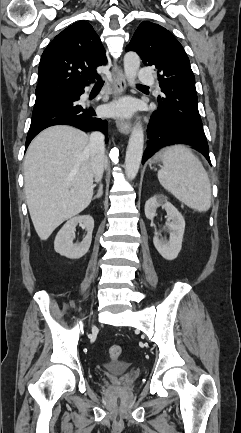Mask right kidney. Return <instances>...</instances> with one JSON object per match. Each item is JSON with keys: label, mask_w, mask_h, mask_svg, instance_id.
Masks as SVG:
<instances>
[{"label": "right kidney", "mask_w": 241, "mask_h": 433, "mask_svg": "<svg viewBox=\"0 0 241 433\" xmlns=\"http://www.w3.org/2000/svg\"><path fill=\"white\" fill-rule=\"evenodd\" d=\"M80 224L87 230V235L79 244H74L72 236L76 226ZM94 220L90 215L76 216L68 220L56 235L54 249L61 256L70 259H79L89 250L92 241Z\"/></svg>", "instance_id": "ca27d5eb"}]
</instances>
